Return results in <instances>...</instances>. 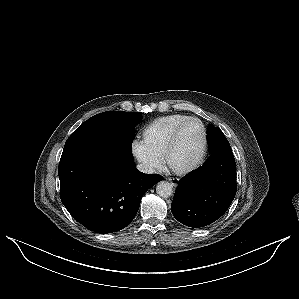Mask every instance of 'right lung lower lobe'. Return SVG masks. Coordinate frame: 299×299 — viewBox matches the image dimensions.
<instances>
[{"instance_id":"98d812e1","label":"right lung lower lobe","mask_w":299,"mask_h":299,"mask_svg":"<svg viewBox=\"0 0 299 299\" xmlns=\"http://www.w3.org/2000/svg\"><path fill=\"white\" fill-rule=\"evenodd\" d=\"M58 175L63 205L80 224L100 234L129 225L144 193L162 180L139 172L131 150L95 139H67Z\"/></svg>"}]
</instances>
